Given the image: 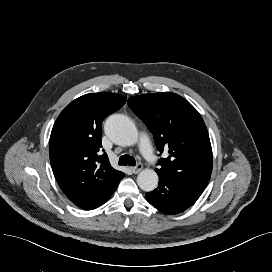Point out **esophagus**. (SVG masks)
Wrapping results in <instances>:
<instances>
[{"instance_id":"34e87169","label":"esophagus","mask_w":272,"mask_h":272,"mask_svg":"<svg viewBox=\"0 0 272 272\" xmlns=\"http://www.w3.org/2000/svg\"><path fill=\"white\" fill-rule=\"evenodd\" d=\"M142 169H143L142 164H137L136 166L131 167L132 172L135 174L139 173Z\"/></svg>"}]
</instances>
